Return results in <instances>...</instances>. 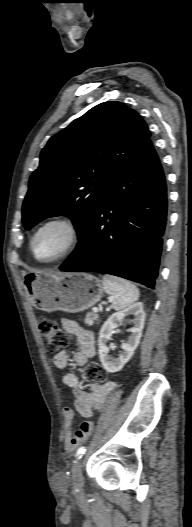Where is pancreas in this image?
<instances>
[{
	"instance_id": "1",
	"label": "pancreas",
	"mask_w": 192,
	"mask_h": 527,
	"mask_svg": "<svg viewBox=\"0 0 192 527\" xmlns=\"http://www.w3.org/2000/svg\"><path fill=\"white\" fill-rule=\"evenodd\" d=\"M97 317H98V314L96 312H89V313H87L84 322L87 325H93L94 323L98 322Z\"/></svg>"
}]
</instances>
